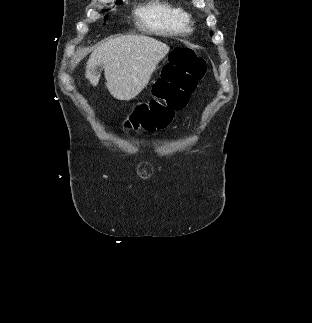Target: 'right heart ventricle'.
Returning a JSON list of instances; mask_svg holds the SVG:
<instances>
[{
    "label": "right heart ventricle",
    "instance_id": "right-heart-ventricle-1",
    "mask_svg": "<svg viewBox=\"0 0 312 323\" xmlns=\"http://www.w3.org/2000/svg\"><path fill=\"white\" fill-rule=\"evenodd\" d=\"M138 1L129 9V20H143L145 29H158L159 33H168L169 29H177L178 33H195L197 18L191 13L189 5L184 1L145 0Z\"/></svg>",
    "mask_w": 312,
    "mask_h": 323
}]
</instances>
